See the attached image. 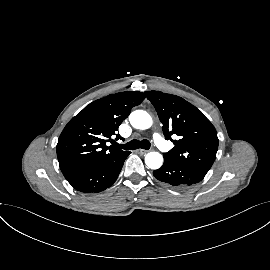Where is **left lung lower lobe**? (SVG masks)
Here are the masks:
<instances>
[{
    "instance_id": "0a47b994",
    "label": "left lung lower lobe",
    "mask_w": 270,
    "mask_h": 270,
    "mask_svg": "<svg viewBox=\"0 0 270 270\" xmlns=\"http://www.w3.org/2000/svg\"><path fill=\"white\" fill-rule=\"evenodd\" d=\"M153 175L156 179L177 188H187L205 177V174L166 157L162 167L153 171Z\"/></svg>"
}]
</instances>
